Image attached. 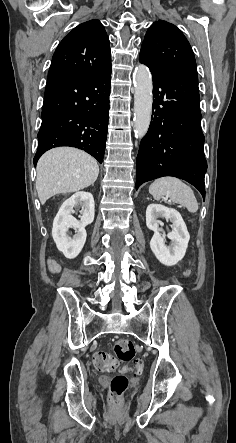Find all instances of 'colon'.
Listing matches in <instances>:
<instances>
[{
	"label": "colon",
	"mask_w": 236,
	"mask_h": 443,
	"mask_svg": "<svg viewBox=\"0 0 236 443\" xmlns=\"http://www.w3.org/2000/svg\"><path fill=\"white\" fill-rule=\"evenodd\" d=\"M190 271H185L184 275L189 276ZM136 349L134 343L129 339H119L113 346V354L96 352L93 355V365L100 371H124L129 370L128 364L134 360ZM135 371L140 373L144 370V365L136 361ZM128 387V380L124 375L115 376L110 383L109 398L112 404H119L123 393Z\"/></svg>",
	"instance_id": "colon-1"
}]
</instances>
